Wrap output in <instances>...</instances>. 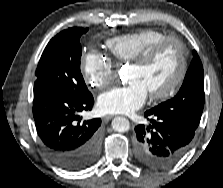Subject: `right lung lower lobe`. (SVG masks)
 Returning a JSON list of instances; mask_svg holds the SVG:
<instances>
[{"instance_id": "right-lung-lower-lobe-1", "label": "right lung lower lobe", "mask_w": 223, "mask_h": 188, "mask_svg": "<svg viewBox=\"0 0 223 188\" xmlns=\"http://www.w3.org/2000/svg\"><path fill=\"white\" fill-rule=\"evenodd\" d=\"M93 103L92 95L78 98L34 88L33 116L38 136L47 155L62 169L80 171L99 157L101 119L81 122L78 115L91 110Z\"/></svg>"}]
</instances>
